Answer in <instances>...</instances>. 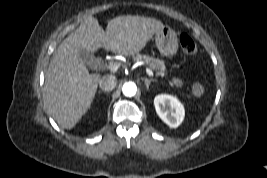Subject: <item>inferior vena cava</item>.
Listing matches in <instances>:
<instances>
[{
	"instance_id": "602c4592",
	"label": "inferior vena cava",
	"mask_w": 267,
	"mask_h": 178,
	"mask_svg": "<svg viewBox=\"0 0 267 178\" xmlns=\"http://www.w3.org/2000/svg\"><path fill=\"white\" fill-rule=\"evenodd\" d=\"M116 85L117 79L114 75H105L99 81L100 88L105 92L112 91Z\"/></svg>"
}]
</instances>
